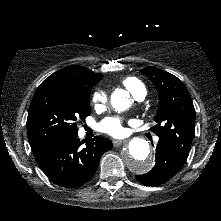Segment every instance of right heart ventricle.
<instances>
[{"instance_id": "right-heart-ventricle-1", "label": "right heart ventricle", "mask_w": 221, "mask_h": 221, "mask_svg": "<svg viewBox=\"0 0 221 221\" xmlns=\"http://www.w3.org/2000/svg\"><path fill=\"white\" fill-rule=\"evenodd\" d=\"M122 85L134 96L136 97L140 93H146V88L144 84L135 77H128L122 81Z\"/></svg>"}]
</instances>
